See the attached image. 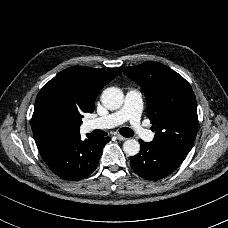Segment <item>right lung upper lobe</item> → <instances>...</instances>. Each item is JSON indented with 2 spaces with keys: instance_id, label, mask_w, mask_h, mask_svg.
<instances>
[{
  "instance_id": "1",
  "label": "right lung upper lobe",
  "mask_w": 228,
  "mask_h": 228,
  "mask_svg": "<svg viewBox=\"0 0 228 228\" xmlns=\"http://www.w3.org/2000/svg\"><path fill=\"white\" fill-rule=\"evenodd\" d=\"M120 74L121 72L114 68L93 69L76 66L60 72L43 89H58L68 97L81 113H92L94 111L95 99L100 90ZM78 133L79 130H75L68 136ZM34 139L37 146L54 140L38 137H34Z\"/></svg>"
}]
</instances>
